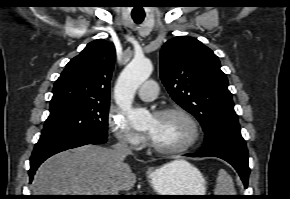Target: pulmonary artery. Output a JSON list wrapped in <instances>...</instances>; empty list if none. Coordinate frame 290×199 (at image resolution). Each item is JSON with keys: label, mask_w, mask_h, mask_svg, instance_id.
Instances as JSON below:
<instances>
[{"label": "pulmonary artery", "mask_w": 290, "mask_h": 199, "mask_svg": "<svg viewBox=\"0 0 290 199\" xmlns=\"http://www.w3.org/2000/svg\"><path fill=\"white\" fill-rule=\"evenodd\" d=\"M158 91L157 83L153 80L143 83L137 91L139 98L143 101H153L156 99Z\"/></svg>", "instance_id": "e3ab8cb5"}]
</instances>
